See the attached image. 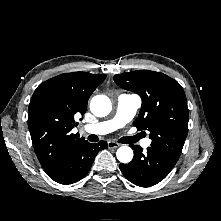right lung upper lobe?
<instances>
[{
	"instance_id": "right-lung-upper-lobe-1",
	"label": "right lung upper lobe",
	"mask_w": 221,
	"mask_h": 221,
	"mask_svg": "<svg viewBox=\"0 0 221 221\" xmlns=\"http://www.w3.org/2000/svg\"><path fill=\"white\" fill-rule=\"evenodd\" d=\"M106 78L104 74L73 72L41 83L28 111V127L35 153L43 168L62 159L87 141L71 133L84 115L93 91Z\"/></svg>"
}]
</instances>
